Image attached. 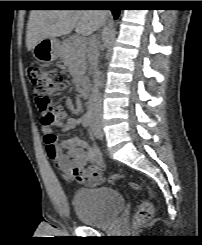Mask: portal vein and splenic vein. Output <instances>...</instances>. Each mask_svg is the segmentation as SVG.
Returning a JSON list of instances; mask_svg holds the SVG:
<instances>
[{
    "label": "portal vein and splenic vein",
    "instance_id": "18ae733b",
    "mask_svg": "<svg viewBox=\"0 0 202 245\" xmlns=\"http://www.w3.org/2000/svg\"><path fill=\"white\" fill-rule=\"evenodd\" d=\"M77 43H85V41L82 38H77Z\"/></svg>",
    "mask_w": 202,
    "mask_h": 245
}]
</instances>
